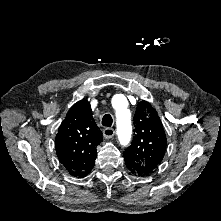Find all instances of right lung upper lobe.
Wrapping results in <instances>:
<instances>
[{"instance_id":"right-lung-upper-lobe-1","label":"right lung upper lobe","mask_w":221,"mask_h":221,"mask_svg":"<svg viewBox=\"0 0 221 221\" xmlns=\"http://www.w3.org/2000/svg\"><path fill=\"white\" fill-rule=\"evenodd\" d=\"M101 131L92 117L90 103H75L62 121L55 138L57 156L70 175L85 177L94 166Z\"/></svg>"}]
</instances>
